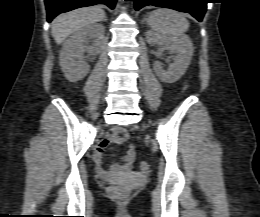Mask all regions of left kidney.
<instances>
[{
    "label": "left kidney",
    "mask_w": 260,
    "mask_h": 217,
    "mask_svg": "<svg viewBox=\"0 0 260 217\" xmlns=\"http://www.w3.org/2000/svg\"><path fill=\"white\" fill-rule=\"evenodd\" d=\"M147 38L150 44L159 43L174 54V62L167 70L163 69L161 63H154V71L158 78L165 83L178 81L184 75L191 62L193 48L190 41L186 37L160 35L151 32L148 33Z\"/></svg>",
    "instance_id": "left-kidney-1"
}]
</instances>
